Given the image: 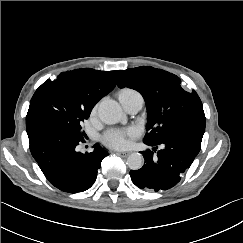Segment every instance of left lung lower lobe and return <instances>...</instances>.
<instances>
[{
    "instance_id": "1",
    "label": "left lung lower lobe",
    "mask_w": 243,
    "mask_h": 243,
    "mask_svg": "<svg viewBox=\"0 0 243 243\" xmlns=\"http://www.w3.org/2000/svg\"><path fill=\"white\" fill-rule=\"evenodd\" d=\"M205 123V118L190 119L174 127L159 142H144L154 148L141 152L145 164L139 170L130 171L132 182L155 192L175 186L200 151ZM158 145L163 148L156 152Z\"/></svg>"
}]
</instances>
